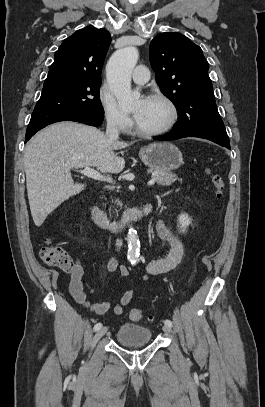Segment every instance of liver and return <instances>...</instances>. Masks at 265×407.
Masks as SVG:
<instances>
[{
	"label": "liver",
	"mask_w": 265,
	"mask_h": 407,
	"mask_svg": "<svg viewBox=\"0 0 265 407\" xmlns=\"http://www.w3.org/2000/svg\"><path fill=\"white\" fill-rule=\"evenodd\" d=\"M129 144L111 141L95 127L63 121L39 131L24 153L27 195L36 226L61 203L84 190L71 169L95 167L103 174L119 173L125 160L114 151Z\"/></svg>",
	"instance_id": "6515ba94"
}]
</instances>
